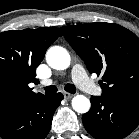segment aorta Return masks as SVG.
I'll use <instances>...</instances> for the list:
<instances>
[{"label": "aorta", "mask_w": 139, "mask_h": 139, "mask_svg": "<svg viewBox=\"0 0 139 139\" xmlns=\"http://www.w3.org/2000/svg\"><path fill=\"white\" fill-rule=\"evenodd\" d=\"M48 65L56 70H65L70 65V55L68 51L60 46L51 47L46 53ZM73 109L81 114L87 113L91 107L90 100L84 95H76L72 99Z\"/></svg>", "instance_id": "obj_1"}]
</instances>
